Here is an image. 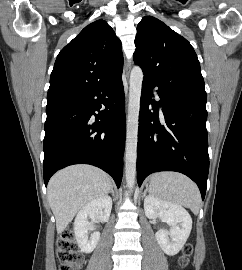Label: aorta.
<instances>
[{
    "label": "aorta",
    "mask_w": 242,
    "mask_h": 270,
    "mask_svg": "<svg viewBox=\"0 0 242 270\" xmlns=\"http://www.w3.org/2000/svg\"><path fill=\"white\" fill-rule=\"evenodd\" d=\"M142 81V69L139 66L133 67L130 74L125 155V177L127 187L130 190H132L134 187L136 176L137 141Z\"/></svg>",
    "instance_id": "1"
}]
</instances>
